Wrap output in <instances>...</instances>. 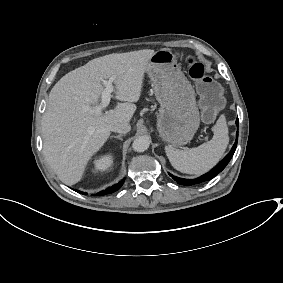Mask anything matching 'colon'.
Returning a JSON list of instances; mask_svg holds the SVG:
<instances>
[{
  "label": "colon",
  "instance_id": "5ec220e1",
  "mask_svg": "<svg viewBox=\"0 0 283 283\" xmlns=\"http://www.w3.org/2000/svg\"><path fill=\"white\" fill-rule=\"evenodd\" d=\"M187 63L189 74L197 84L202 116L204 120L212 121L224 105L222 88L207 74L204 64L194 57H189Z\"/></svg>",
  "mask_w": 283,
  "mask_h": 283
}]
</instances>
